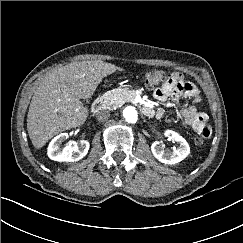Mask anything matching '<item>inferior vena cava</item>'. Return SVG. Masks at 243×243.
Listing matches in <instances>:
<instances>
[{"mask_svg": "<svg viewBox=\"0 0 243 243\" xmlns=\"http://www.w3.org/2000/svg\"><path fill=\"white\" fill-rule=\"evenodd\" d=\"M110 117V112L107 109H101L96 112V118L98 121H106Z\"/></svg>", "mask_w": 243, "mask_h": 243, "instance_id": "inferior-vena-cava-1", "label": "inferior vena cava"}]
</instances>
